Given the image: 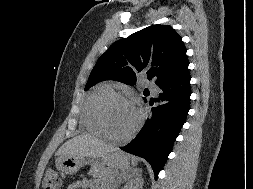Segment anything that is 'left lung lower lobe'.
<instances>
[{"label":"left lung lower lobe","mask_w":253,"mask_h":189,"mask_svg":"<svg viewBox=\"0 0 253 189\" xmlns=\"http://www.w3.org/2000/svg\"><path fill=\"white\" fill-rule=\"evenodd\" d=\"M188 58L176 73L163 84L157 107L133 141L121 147L122 150L145 158L152 166L155 179L162 170L173 143L185 123L190 109V74ZM152 105L153 102L150 101Z\"/></svg>","instance_id":"left-lung-lower-lobe-1"}]
</instances>
